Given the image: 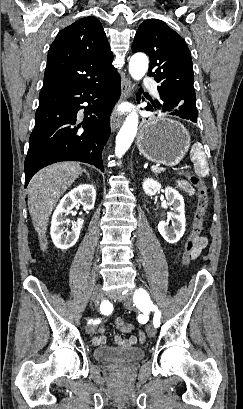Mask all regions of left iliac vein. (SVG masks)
<instances>
[{
	"mask_svg": "<svg viewBox=\"0 0 243 409\" xmlns=\"http://www.w3.org/2000/svg\"><path fill=\"white\" fill-rule=\"evenodd\" d=\"M124 305L128 308L133 306V301L131 298H127L124 300ZM147 335L149 337H154L156 335V327L153 324H149L146 329Z\"/></svg>",
	"mask_w": 243,
	"mask_h": 409,
	"instance_id": "left-iliac-vein-1",
	"label": "left iliac vein"
}]
</instances>
